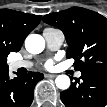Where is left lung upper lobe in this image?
Wrapping results in <instances>:
<instances>
[{"label":"left lung upper lobe","instance_id":"5c2ea615","mask_svg":"<svg viewBox=\"0 0 107 107\" xmlns=\"http://www.w3.org/2000/svg\"><path fill=\"white\" fill-rule=\"evenodd\" d=\"M43 21L61 29L69 45L66 57L77 70L107 75V19L88 9L72 7L47 14Z\"/></svg>","mask_w":107,"mask_h":107}]
</instances>
